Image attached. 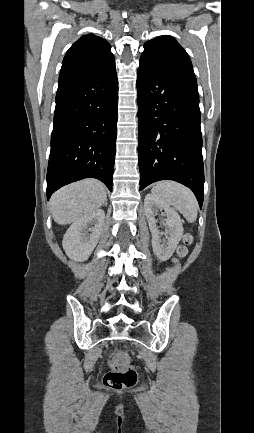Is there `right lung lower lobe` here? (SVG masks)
Wrapping results in <instances>:
<instances>
[{
    "mask_svg": "<svg viewBox=\"0 0 254 433\" xmlns=\"http://www.w3.org/2000/svg\"><path fill=\"white\" fill-rule=\"evenodd\" d=\"M118 81L115 63L91 73L59 78L47 170V198L84 179L110 191L117 137Z\"/></svg>",
    "mask_w": 254,
    "mask_h": 433,
    "instance_id": "right-lung-lower-lobe-1",
    "label": "right lung lower lobe"
}]
</instances>
